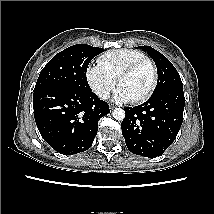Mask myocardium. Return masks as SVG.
Wrapping results in <instances>:
<instances>
[{
  "mask_svg": "<svg viewBox=\"0 0 214 214\" xmlns=\"http://www.w3.org/2000/svg\"><path fill=\"white\" fill-rule=\"evenodd\" d=\"M143 65H147L150 68L151 81H150V84H149L148 88L146 89V91L140 97L133 99V102H135V103H142V102L146 101L152 95L153 91L155 90V87L157 85L158 75H157V68H156L154 62L146 57L139 59V60L131 63L127 67H125L117 78L118 85L120 86V82L124 77L132 74L133 72H135L138 68H140Z\"/></svg>",
  "mask_w": 214,
  "mask_h": 214,
  "instance_id": "obj_1",
  "label": "myocardium"
}]
</instances>
